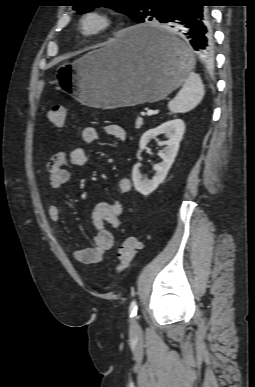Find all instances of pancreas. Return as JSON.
I'll return each instance as SVG.
<instances>
[{
	"mask_svg": "<svg viewBox=\"0 0 255 387\" xmlns=\"http://www.w3.org/2000/svg\"><path fill=\"white\" fill-rule=\"evenodd\" d=\"M143 123H144L143 119L139 117V118L136 120V122H135V128H136V129H140V128L142 127Z\"/></svg>",
	"mask_w": 255,
	"mask_h": 387,
	"instance_id": "1",
	"label": "pancreas"
}]
</instances>
